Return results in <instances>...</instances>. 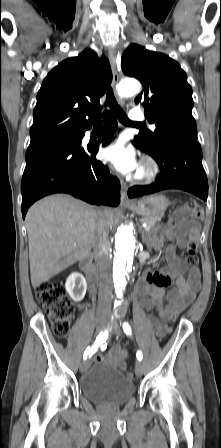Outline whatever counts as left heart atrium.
I'll return each instance as SVG.
<instances>
[{
    "label": "left heart atrium",
    "instance_id": "39dd6f15",
    "mask_svg": "<svg viewBox=\"0 0 221 448\" xmlns=\"http://www.w3.org/2000/svg\"><path fill=\"white\" fill-rule=\"evenodd\" d=\"M103 154L105 159L123 174L139 171V163L135 153L121 141L106 147Z\"/></svg>",
    "mask_w": 221,
    "mask_h": 448
}]
</instances>
